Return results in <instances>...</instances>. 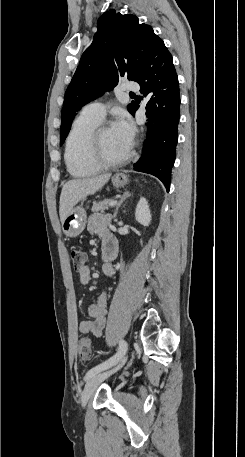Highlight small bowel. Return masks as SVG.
Instances as JSON below:
<instances>
[{"label": "small bowel", "mask_w": 245, "mask_h": 457, "mask_svg": "<svg viewBox=\"0 0 245 457\" xmlns=\"http://www.w3.org/2000/svg\"><path fill=\"white\" fill-rule=\"evenodd\" d=\"M110 217L101 213L92 214L87 222L88 230L96 234L101 239L102 271L107 276L115 274V267L112 261L117 255V243L112 235L110 228ZM79 280L83 285H87L91 280L90 268L84 265L79 271ZM88 314L90 319L81 321L78 329L82 334H93L96 337L102 335L106 323L107 315V295L105 291H101L97 298L89 305Z\"/></svg>", "instance_id": "1"}]
</instances>
